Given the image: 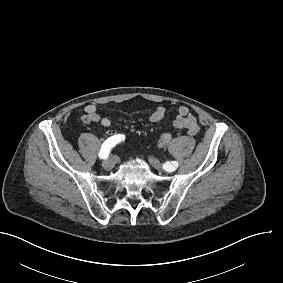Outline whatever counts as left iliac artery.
<instances>
[{
  "label": "left iliac artery",
  "mask_w": 283,
  "mask_h": 283,
  "mask_svg": "<svg viewBox=\"0 0 283 283\" xmlns=\"http://www.w3.org/2000/svg\"><path fill=\"white\" fill-rule=\"evenodd\" d=\"M171 166L173 167V170H174L175 168L178 167V163H177L176 161H172V162H171ZM167 167H168V166H166L165 169H166Z\"/></svg>",
  "instance_id": "1"
}]
</instances>
